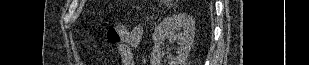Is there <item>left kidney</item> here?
Listing matches in <instances>:
<instances>
[{"label": "left kidney", "mask_w": 309, "mask_h": 65, "mask_svg": "<svg viewBox=\"0 0 309 65\" xmlns=\"http://www.w3.org/2000/svg\"><path fill=\"white\" fill-rule=\"evenodd\" d=\"M177 29H182L176 34ZM195 21L183 13L165 18L154 30L152 39L154 47L151 54V65H163L164 52L161 45L165 39L178 41L179 48L175 57H168L167 65H186L187 58L194 43Z\"/></svg>", "instance_id": "obj_1"}]
</instances>
